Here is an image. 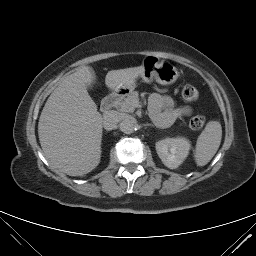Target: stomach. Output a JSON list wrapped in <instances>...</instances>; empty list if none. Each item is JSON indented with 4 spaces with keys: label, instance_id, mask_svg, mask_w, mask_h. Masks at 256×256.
Wrapping results in <instances>:
<instances>
[{
    "label": "stomach",
    "instance_id": "1",
    "mask_svg": "<svg viewBox=\"0 0 256 256\" xmlns=\"http://www.w3.org/2000/svg\"><path fill=\"white\" fill-rule=\"evenodd\" d=\"M143 72L140 74L142 80L151 83L155 80L161 85H171L178 78V71L175 66L165 61H157L154 57H146L143 61ZM136 87V81L133 80L121 89L124 93L131 92Z\"/></svg>",
    "mask_w": 256,
    "mask_h": 256
}]
</instances>
